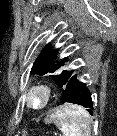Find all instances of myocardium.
<instances>
[{"label": "myocardium", "mask_w": 117, "mask_h": 136, "mask_svg": "<svg viewBox=\"0 0 117 136\" xmlns=\"http://www.w3.org/2000/svg\"><path fill=\"white\" fill-rule=\"evenodd\" d=\"M37 94L40 100L37 104L31 101V96ZM52 96V88L49 83L39 81L31 84L24 94V102L26 106L32 110H42L47 106Z\"/></svg>", "instance_id": "f54148a6"}]
</instances>
